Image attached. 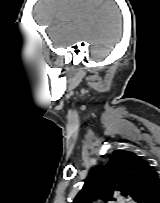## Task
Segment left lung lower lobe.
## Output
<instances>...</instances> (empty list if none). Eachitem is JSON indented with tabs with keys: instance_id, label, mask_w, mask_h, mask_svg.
Instances as JSON below:
<instances>
[{
	"instance_id": "obj_1",
	"label": "left lung lower lobe",
	"mask_w": 160,
	"mask_h": 203,
	"mask_svg": "<svg viewBox=\"0 0 160 203\" xmlns=\"http://www.w3.org/2000/svg\"><path fill=\"white\" fill-rule=\"evenodd\" d=\"M149 203H160V181L158 182Z\"/></svg>"
}]
</instances>
